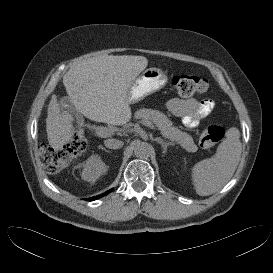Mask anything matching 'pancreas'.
Returning <instances> with one entry per match:
<instances>
[{"label": "pancreas", "mask_w": 273, "mask_h": 273, "mask_svg": "<svg viewBox=\"0 0 273 273\" xmlns=\"http://www.w3.org/2000/svg\"><path fill=\"white\" fill-rule=\"evenodd\" d=\"M134 117L141 121H149L155 124L164 137L170 139L172 142H176L186 151H197L198 147L194 143L192 136L173 126L172 121L158 110L142 108L135 112Z\"/></svg>", "instance_id": "obj_1"}]
</instances>
